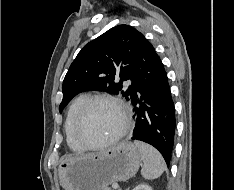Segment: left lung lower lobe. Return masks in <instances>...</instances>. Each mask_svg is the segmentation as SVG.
Returning a JSON list of instances; mask_svg holds the SVG:
<instances>
[{
  "label": "left lung lower lobe",
  "instance_id": "1",
  "mask_svg": "<svg viewBox=\"0 0 234 190\" xmlns=\"http://www.w3.org/2000/svg\"><path fill=\"white\" fill-rule=\"evenodd\" d=\"M129 100L136 124L131 139L151 144L169 166L175 133V108L167 73L152 44L140 43L136 74Z\"/></svg>",
  "mask_w": 234,
  "mask_h": 190
}]
</instances>
